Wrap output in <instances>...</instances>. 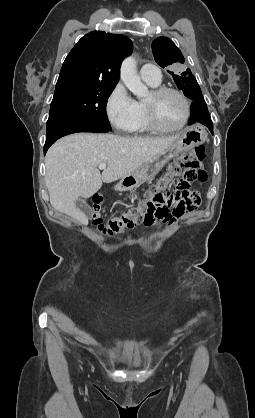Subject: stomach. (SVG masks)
Listing matches in <instances>:
<instances>
[{
    "label": "stomach",
    "mask_w": 255,
    "mask_h": 418,
    "mask_svg": "<svg viewBox=\"0 0 255 418\" xmlns=\"http://www.w3.org/2000/svg\"><path fill=\"white\" fill-rule=\"evenodd\" d=\"M207 133L203 127L194 125L185 128L179 138L165 151L153 156L131 175L122 178L120 185L131 189L137 185L153 179L165 164L180 152L204 143Z\"/></svg>",
    "instance_id": "stomach-1"
}]
</instances>
